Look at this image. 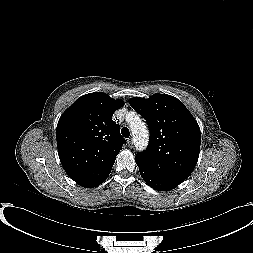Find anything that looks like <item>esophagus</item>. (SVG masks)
<instances>
[{
	"label": "esophagus",
	"instance_id": "obj_1",
	"mask_svg": "<svg viewBox=\"0 0 253 253\" xmlns=\"http://www.w3.org/2000/svg\"><path fill=\"white\" fill-rule=\"evenodd\" d=\"M127 144H128L129 147H132V145H133V140H132V138H129V139L127 140Z\"/></svg>",
	"mask_w": 253,
	"mask_h": 253
}]
</instances>
